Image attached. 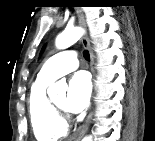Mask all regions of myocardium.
<instances>
[{
	"label": "myocardium",
	"instance_id": "myocardium-1",
	"mask_svg": "<svg viewBox=\"0 0 155 141\" xmlns=\"http://www.w3.org/2000/svg\"><path fill=\"white\" fill-rule=\"evenodd\" d=\"M50 104L52 106V109L55 113L56 118L65 124V112L63 110V108H60L59 106H57L53 101H50Z\"/></svg>",
	"mask_w": 155,
	"mask_h": 141
}]
</instances>
